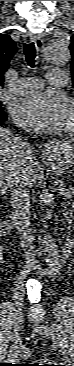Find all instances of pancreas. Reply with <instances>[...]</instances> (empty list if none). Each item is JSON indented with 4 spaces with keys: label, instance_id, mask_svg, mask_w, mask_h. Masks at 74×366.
Returning <instances> with one entry per match:
<instances>
[{
    "label": "pancreas",
    "instance_id": "obj_1",
    "mask_svg": "<svg viewBox=\"0 0 74 366\" xmlns=\"http://www.w3.org/2000/svg\"><path fill=\"white\" fill-rule=\"evenodd\" d=\"M60 188H61V189H59V190H63V192H64L66 195L70 196V194H72V190H71V188H66V186H65V185L61 186Z\"/></svg>",
    "mask_w": 74,
    "mask_h": 366
}]
</instances>
